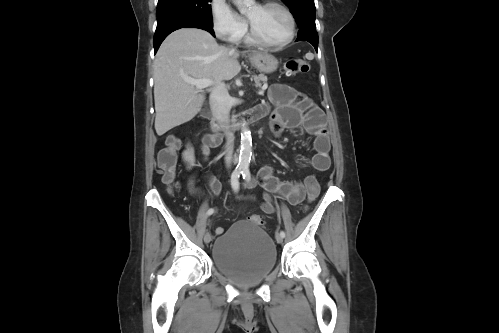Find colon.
I'll return each mask as SVG.
<instances>
[{
    "mask_svg": "<svg viewBox=\"0 0 499 333\" xmlns=\"http://www.w3.org/2000/svg\"><path fill=\"white\" fill-rule=\"evenodd\" d=\"M309 68V64L301 59H291L286 63V70L290 74L306 73L309 71ZM179 146V140L176 137H170L167 140V146L160 151L158 157L162 182L171 189L176 187L177 150ZM304 190L308 202H312L318 197L320 186L315 176L309 175L305 178ZM248 219L253 223L263 225V220L258 215H251Z\"/></svg>",
    "mask_w": 499,
    "mask_h": 333,
    "instance_id": "1",
    "label": "colon"
}]
</instances>
